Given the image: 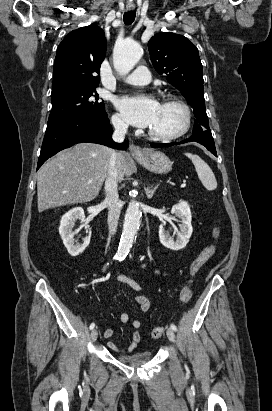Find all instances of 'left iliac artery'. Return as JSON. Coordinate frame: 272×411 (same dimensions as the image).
Listing matches in <instances>:
<instances>
[{"label":"left iliac artery","instance_id":"1","mask_svg":"<svg viewBox=\"0 0 272 411\" xmlns=\"http://www.w3.org/2000/svg\"><path fill=\"white\" fill-rule=\"evenodd\" d=\"M170 327H171V329L174 330V331L177 330V327H176L173 323L170 325Z\"/></svg>","mask_w":272,"mask_h":411}]
</instances>
